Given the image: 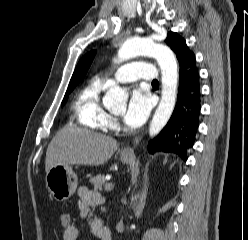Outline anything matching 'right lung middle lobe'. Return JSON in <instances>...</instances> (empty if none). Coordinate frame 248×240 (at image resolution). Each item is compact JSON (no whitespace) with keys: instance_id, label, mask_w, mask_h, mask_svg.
<instances>
[{"instance_id":"1","label":"right lung middle lobe","mask_w":248,"mask_h":240,"mask_svg":"<svg viewBox=\"0 0 248 240\" xmlns=\"http://www.w3.org/2000/svg\"><path fill=\"white\" fill-rule=\"evenodd\" d=\"M77 84H78L77 81H71V82L69 83L68 89H67L66 94H65V96H64V99H63V101H62V105L66 102V100L68 99L69 94L73 91V89L75 88V86H76Z\"/></svg>"}]
</instances>
